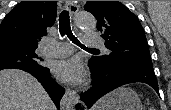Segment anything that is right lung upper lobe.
<instances>
[{
  "label": "right lung upper lobe",
  "instance_id": "cb5924a9",
  "mask_svg": "<svg viewBox=\"0 0 171 110\" xmlns=\"http://www.w3.org/2000/svg\"><path fill=\"white\" fill-rule=\"evenodd\" d=\"M57 1H22L0 24V46L37 48L56 20Z\"/></svg>",
  "mask_w": 171,
  "mask_h": 110
}]
</instances>
